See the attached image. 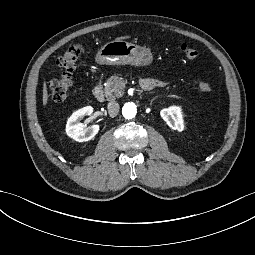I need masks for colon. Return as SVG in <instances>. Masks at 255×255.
<instances>
[{
  "label": "colon",
  "instance_id": "obj_1",
  "mask_svg": "<svg viewBox=\"0 0 255 255\" xmlns=\"http://www.w3.org/2000/svg\"><path fill=\"white\" fill-rule=\"evenodd\" d=\"M180 49L189 59H193L198 55L195 48L185 43L180 46ZM81 52V45L74 44L66 49L57 59L60 72L58 76L50 82L51 95L54 101L62 102L67 98L72 86V74L76 69ZM199 88L201 91L207 92L212 89V85L208 82H201Z\"/></svg>",
  "mask_w": 255,
  "mask_h": 255
}]
</instances>
